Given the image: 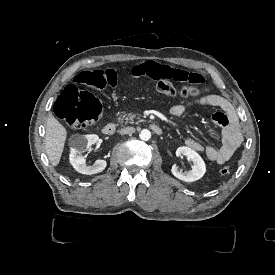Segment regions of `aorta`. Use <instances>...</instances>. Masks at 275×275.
<instances>
[{"label":"aorta","instance_id":"obj_1","mask_svg":"<svg viewBox=\"0 0 275 275\" xmlns=\"http://www.w3.org/2000/svg\"><path fill=\"white\" fill-rule=\"evenodd\" d=\"M139 138H140V140H142V141H148V140H150V138H151V133H150V131L147 130V129H143V130L140 132V134H139Z\"/></svg>","mask_w":275,"mask_h":275}]
</instances>
